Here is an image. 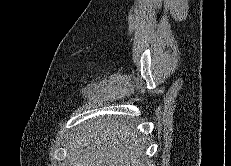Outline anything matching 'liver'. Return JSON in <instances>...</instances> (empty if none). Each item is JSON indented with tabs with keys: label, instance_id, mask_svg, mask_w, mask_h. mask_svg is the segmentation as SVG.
<instances>
[{
	"label": "liver",
	"instance_id": "1",
	"mask_svg": "<svg viewBox=\"0 0 231 166\" xmlns=\"http://www.w3.org/2000/svg\"><path fill=\"white\" fill-rule=\"evenodd\" d=\"M66 149L69 166H143L145 146L127 121L102 117L79 127Z\"/></svg>",
	"mask_w": 231,
	"mask_h": 166
}]
</instances>
